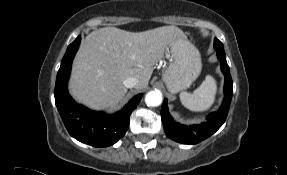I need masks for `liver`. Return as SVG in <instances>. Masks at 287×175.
<instances>
[{
    "mask_svg": "<svg viewBox=\"0 0 287 175\" xmlns=\"http://www.w3.org/2000/svg\"><path fill=\"white\" fill-rule=\"evenodd\" d=\"M183 37L184 32L176 26L136 33L116 27L92 31L73 63L71 95L95 110L114 108L127 92L123 81L136 77L137 88H145L168 45Z\"/></svg>",
    "mask_w": 287,
    "mask_h": 175,
    "instance_id": "6515ba94",
    "label": "liver"
}]
</instances>
